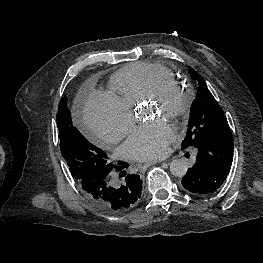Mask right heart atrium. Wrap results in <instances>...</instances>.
I'll list each match as a JSON object with an SVG mask.
<instances>
[{
    "mask_svg": "<svg viewBox=\"0 0 263 263\" xmlns=\"http://www.w3.org/2000/svg\"><path fill=\"white\" fill-rule=\"evenodd\" d=\"M84 119L88 129L104 146L125 136L134 123L131 110L106 92H94L88 97Z\"/></svg>",
    "mask_w": 263,
    "mask_h": 263,
    "instance_id": "obj_1",
    "label": "right heart atrium"
}]
</instances>
